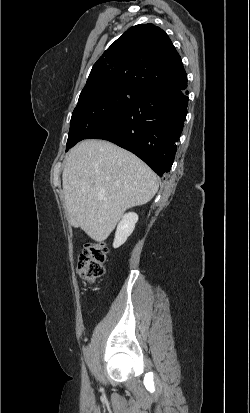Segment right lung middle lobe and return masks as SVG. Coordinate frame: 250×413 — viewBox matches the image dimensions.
Listing matches in <instances>:
<instances>
[{"label":"right lung middle lobe","instance_id":"right-lung-middle-lobe-1","mask_svg":"<svg viewBox=\"0 0 250 413\" xmlns=\"http://www.w3.org/2000/svg\"><path fill=\"white\" fill-rule=\"evenodd\" d=\"M140 93L124 85H96L83 89L72 113L66 151L113 119Z\"/></svg>","mask_w":250,"mask_h":413}]
</instances>
